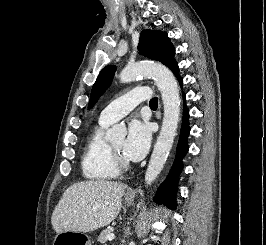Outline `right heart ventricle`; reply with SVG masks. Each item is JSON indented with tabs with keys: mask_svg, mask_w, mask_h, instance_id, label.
I'll return each instance as SVG.
<instances>
[{
	"mask_svg": "<svg viewBox=\"0 0 266 245\" xmlns=\"http://www.w3.org/2000/svg\"><path fill=\"white\" fill-rule=\"evenodd\" d=\"M109 123L98 120L90 130L82 153L81 170L83 177L93 183L103 184L118 178L119 170L114 166L103 132Z\"/></svg>",
	"mask_w": 266,
	"mask_h": 245,
	"instance_id": "e07e8e85",
	"label": "right heart ventricle"
}]
</instances>
